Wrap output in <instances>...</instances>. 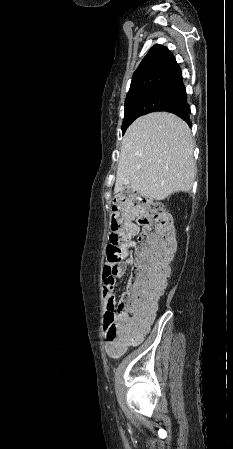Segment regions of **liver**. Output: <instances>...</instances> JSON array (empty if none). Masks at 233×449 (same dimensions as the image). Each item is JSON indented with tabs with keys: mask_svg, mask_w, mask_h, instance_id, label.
Wrapping results in <instances>:
<instances>
[{
	"mask_svg": "<svg viewBox=\"0 0 233 449\" xmlns=\"http://www.w3.org/2000/svg\"><path fill=\"white\" fill-rule=\"evenodd\" d=\"M190 128L174 114L154 112L136 119L124 134L114 192L132 191L164 200L191 190L196 164Z\"/></svg>",
	"mask_w": 233,
	"mask_h": 449,
	"instance_id": "liver-1",
	"label": "liver"
}]
</instances>
